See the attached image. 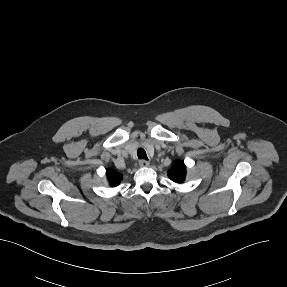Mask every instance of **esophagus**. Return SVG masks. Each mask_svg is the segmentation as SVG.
<instances>
[{"instance_id": "obj_1", "label": "esophagus", "mask_w": 287, "mask_h": 287, "mask_svg": "<svg viewBox=\"0 0 287 287\" xmlns=\"http://www.w3.org/2000/svg\"><path fill=\"white\" fill-rule=\"evenodd\" d=\"M139 165L141 167H148L150 165V163H149V161H146V160H140Z\"/></svg>"}]
</instances>
